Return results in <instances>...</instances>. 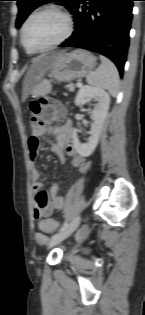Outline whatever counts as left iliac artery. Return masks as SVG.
Masks as SVG:
<instances>
[{"instance_id": "44dca946", "label": "left iliac artery", "mask_w": 145, "mask_h": 315, "mask_svg": "<svg viewBox=\"0 0 145 315\" xmlns=\"http://www.w3.org/2000/svg\"><path fill=\"white\" fill-rule=\"evenodd\" d=\"M68 226V221L66 220L63 225L61 226L59 232L63 231Z\"/></svg>"}]
</instances>
